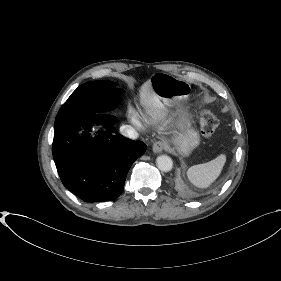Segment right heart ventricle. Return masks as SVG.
Instances as JSON below:
<instances>
[{
  "instance_id": "e07e8e85",
  "label": "right heart ventricle",
  "mask_w": 281,
  "mask_h": 281,
  "mask_svg": "<svg viewBox=\"0 0 281 281\" xmlns=\"http://www.w3.org/2000/svg\"><path fill=\"white\" fill-rule=\"evenodd\" d=\"M149 112L155 116H164L167 113V109L163 105H157L152 107Z\"/></svg>"
}]
</instances>
